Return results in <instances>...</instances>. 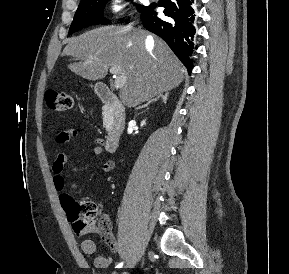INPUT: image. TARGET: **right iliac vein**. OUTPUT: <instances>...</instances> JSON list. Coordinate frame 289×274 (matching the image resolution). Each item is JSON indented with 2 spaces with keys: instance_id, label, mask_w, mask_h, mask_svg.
Returning <instances> with one entry per match:
<instances>
[{
  "instance_id": "1",
  "label": "right iliac vein",
  "mask_w": 289,
  "mask_h": 274,
  "mask_svg": "<svg viewBox=\"0 0 289 274\" xmlns=\"http://www.w3.org/2000/svg\"><path fill=\"white\" fill-rule=\"evenodd\" d=\"M134 261L129 262L125 268H132L134 266Z\"/></svg>"
}]
</instances>
